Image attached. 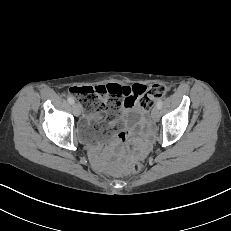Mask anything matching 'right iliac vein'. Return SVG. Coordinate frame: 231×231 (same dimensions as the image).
<instances>
[{
    "label": "right iliac vein",
    "mask_w": 231,
    "mask_h": 231,
    "mask_svg": "<svg viewBox=\"0 0 231 231\" xmlns=\"http://www.w3.org/2000/svg\"><path fill=\"white\" fill-rule=\"evenodd\" d=\"M73 111L76 116L81 114V107L79 104H73Z\"/></svg>",
    "instance_id": "obj_1"
}]
</instances>
